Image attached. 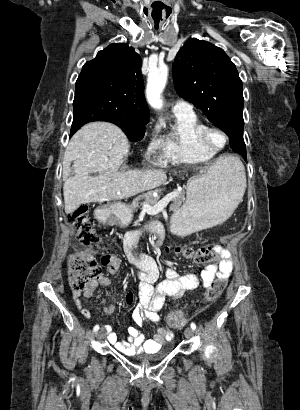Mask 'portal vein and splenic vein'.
<instances>
[{
  "mask_svg": "<svg viewBox=\"0 0 300 410\" xmlns=\"http://www.w3.org/2000/svg\"><path fill=\"white\" fill-rule=\"evenodd\" d=\"M176 196H178V192L174 191L171 192L169 194H167L166 196H164L160 201H158L154 206H151L148 203H144L143 204V210L146 211L147 213H153L156 214L160 211H162L167 205L168 203L175 198Z\"/></svg>",
  "mask_w": 300,
  "mask_h": 410,
  "instance_id": "18ae733b",
  "label": "portal vein and splenic vein"
}]
</instances>
